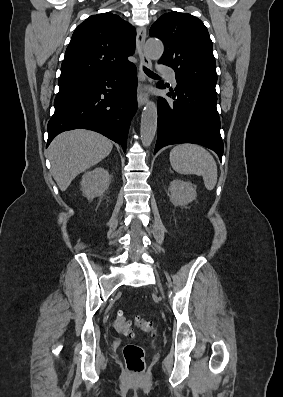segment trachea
<instances>
[{
  "mask_svg": "<svg viewBox=\"0 0 283 397\" xmlns=\"http://www.w3.org/2000/svg\"><path fill=\"white\" fill-rule=\"evenodd\" d=\"M144 72L150 76V77H158L157 74H155L154 72H152L151 70L147 69L146 67H144Z\"/></svg>",
  "mask_w": 283,
  "mask_h": 397,
  "instance_id": "obj_1",
  "label": "trachea"
}]
</instances>
